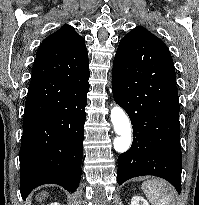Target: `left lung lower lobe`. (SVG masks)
Instances as JSON below:
<instances>
[{"label":"left lung lower lobe","mask_w":199,"mask_h":205,"mask_svg":"<svg viewBox=\"0 0 199 205\" xmlns=\"http://www.w3.org/2000/svg\"><path fill=\"white\" fill-rule=\"evenodd\" d=\"M112 91L130 117L134 137L131 148L118 157V184L154 175L180 193L179 98L169 51L145 33L130 31L114 58Z\"/></svg>","instance_id":"1"}]
</instances>
